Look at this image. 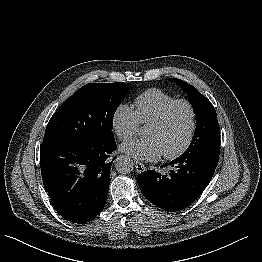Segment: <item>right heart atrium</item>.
Segmentation results:
<instances>
[{"label": "right heart atrium", "mask_w": 262, "mask_h": 262, "mask_svg": "<svg viewBox=\"0 0 262 262\" xmlns=\"http://www.w3.org/2000/svg\"><path fill=\"white\" fill-rule=\"evenodd\" d=\"M139 126L135 111L130 106L120 104L116 107L111 117V127L120 140L131 139L137 134Z\"/></svg>", "instance_id": "obj_1"}]
</instances>
